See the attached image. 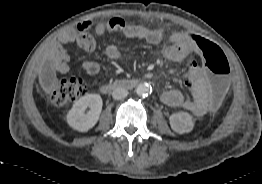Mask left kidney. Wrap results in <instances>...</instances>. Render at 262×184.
<instances>
[{"mask_svg": "<svg viewBox=\"0 0 262 184\" xmlns=\"http://www.w3.org/2000/svg\"><path fill=\"white\" fill-rule=\"evenodd\" d=\"M171 128L179 134H184L192 131L194 121L192 116L187 112L174 113L169 118Z\"/></svg>", "mask_w": 262, "mask_h": 184, "instance_id": "obj_1", "label": "left kidney"}]
</instances>
